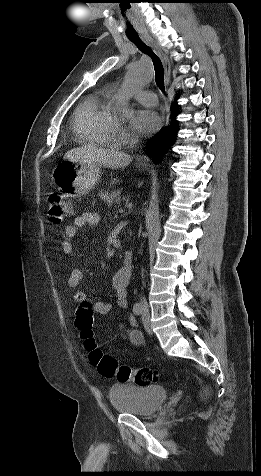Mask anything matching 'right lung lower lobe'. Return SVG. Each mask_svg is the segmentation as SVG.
Listing matches in <instances>:
<instances>
[{
    "instance_id": "98d812e1",
    "label": "right lung lower lobe",
    "mask_w": 261,
    "mask_h": 476,
    "mask_svg": "<svg viewBox=\"0 0 261 476\" xmlns=\"http://www.w3.org/2000/svg\"><path fill=\"white\" fill-rule=\"evenodd\" d=\"M178 106L175 103L172 106V122L169 128L162 129L159 133H157L149 145V151L151 157L154 160H160L163 154L168 150L171 144L175 140V136L177 133L178 125L176 123V116H177Z\"/></svg>"
}]
</instances>
